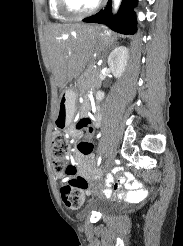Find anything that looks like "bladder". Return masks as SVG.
Segmentation results:
<instances>
[{"label":"bladder","mask_w":183,"mask_h":246,"mask_svg":"<svg viewBox=\"0 0 183 246\" xmlns=\"http://www.w3.org/2000/svg\"><path fill=\"white\" fill-rule=\"evenodd\" d=\"M90 206L97 209L103 215L111 214L117 209L116 204L110 200L94 201Z\"/></svg>","instance_id":"1"}]
</instances>
